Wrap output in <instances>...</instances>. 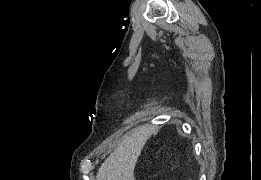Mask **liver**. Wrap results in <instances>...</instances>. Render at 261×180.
Returning <instances> with one entry per match:
<instances>
[{"label":"liver","instance_id":"obj_1","mask_svg":"<svg viewBox=\"0 0 261 180\" xmlns=\"http://www.w3.org/2000/svg\"><path fill=\"white\" fill-rule=\"evenodd\" d=\"M148 134L147 126H139L125 134L116 152H112L100 166L96 180H134V168Z\"/></svg>","mask_w":261,"mask_h":180}]
</instances>
